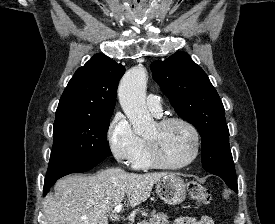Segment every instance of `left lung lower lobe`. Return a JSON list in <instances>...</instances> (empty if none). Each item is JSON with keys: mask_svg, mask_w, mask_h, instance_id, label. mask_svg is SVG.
<instances>
[{"mask_svg": "<svg viewBox=\"0 0 275 224\" xmlns=\"http://www.w3.org/2000/svg\"><path fill=\"white\" fill-rule=\"evenodd\" d=\"M227 185L235 191H238L237 181L234 178H229L226 181Z\"/></svg>", "mask_w": 275, "mask_h": 224, "instance_id": "left-lung-lower-lobe-1", "label": "left lung lower lobe"}]
</instances>
